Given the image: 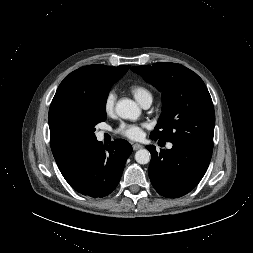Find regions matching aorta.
Listing matches in <instances>:
<instances>
[{
	"label": "aorta",
	"mask_w": 253,
	"mask_h": 253,
	"mask_svg": "<svg viewBox=\"0 0 253 253\" xmlns=\"http://www.w3.org/2000/svg\"><path fill=\"white\" fill-rule=\"evenodd\" d=\"M116 113L123 119L136 120L140 116L141 110L133 100L123 99L116 104ZM135 160L139 164L149 163L150 152L147 149L138 150L135 153Z\"/></svg>",
	"instance_id": "aorta-1"
}]
</instances>
